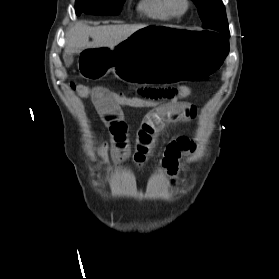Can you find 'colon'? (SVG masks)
Masks as SVG:
<instances>
[{
    "label": "colon",
    "instance_id": "colon-1",
    "mask_svg": "<svg viewBox=\"0 0 279 279\" xmlns=\"http://www.w3.org/2000/svg\"><path fill=\"white\" fill-rule=\"evenodd\" d=\"M70 86L75 93L85 98H90L93 89L95 88L93 86H86L78 83H71ZM191 93V88L189 86L184 85L179 87L168 88L167 92L160 97L139 94L135 96H129L122 92L112 91H109V97L113 102H115L121 107L143 109L156 106L164 101L177 102L189 96Z\"/></svg>",
    "mask_w": 279,
    "mask_h": 279
}]
</instances>
